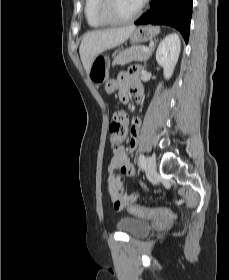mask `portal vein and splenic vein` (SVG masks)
<instances>
[{
	"mask_svg": "<svg viewBox=\"0 0 229 280\" xmlns=\"http://www.w3.org/2000/svg\"><path fill=\"white\" fill-rule=\"evenodd\" d=\"M142 51H143V52H149V51H150V48H148V47H143V48H142Z\"/></svg>",
	"mask_w": 229,
	"mask_h": 280,
	"instance_id": "portal-vein-and-splenic-vein-1",
	"label": "portal vein and splenic vein"
}]
</instances>
